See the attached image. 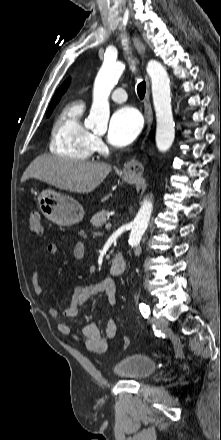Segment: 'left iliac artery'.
<instances>
[{"label":"left iliac artery","mask_w":221,"mask_h":440,"mask_svg":"<svg viewBox=\"0 0 221 440\" xmlns=\"http://www.w3.org/2000/svg\"><path fill=\"white\" fill-rule=\"evenodd\" d=\"M139 309L141 314L143 315L144 318H148L149 314H150V308L148 305L144 304V303H140L139 304Z\"/></svg>","instance_id":"left-iliac-artery-1"}]
</instances>
